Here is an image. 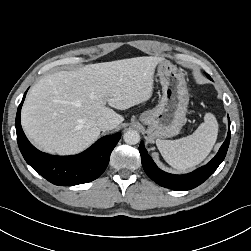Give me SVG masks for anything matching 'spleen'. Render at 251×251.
I'll return each instance as SVG.
<instances>
[{"label": "spleen", "mask_w": 251, "mask_h": 251, "mask_svg": "<svg viewBox=\"0 0 251 251\" xmlns=\"http://www.w3.org/2000/svg\"><path fill=\"white\" fill-rule=\"evenodd\" d=\"M218 135V123L212 113H206L193 134L177 140H156L164 160L173 168L185 171L200 164L211 152Z\"/></svg>", "instance_id": "3e777b00"}]
</instances>
